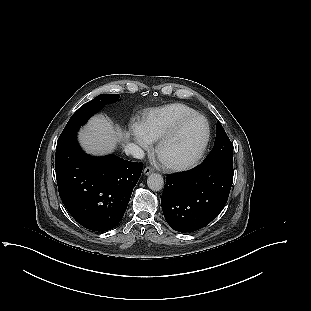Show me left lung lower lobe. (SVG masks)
I'll use <instances>...</instances> for the list:
<instances>
[{
  "mask_svg": "<svg viewBox=\"0 0 311 311\" xmlns=\"http://www.w3.org/2000/svg\"><path fill=\"white\" fill-rule=\"evenodd\" d=\"M233 173V165L203 163L190 173L167 177L161 197L167 223L181 233L207 226L227 202Z\"/></svg>",
  "mask_w": 311,
  "mask_h": 311,
  "instance_id": "1",
  "label": "left lung lower lobe"
}]
</instances>
